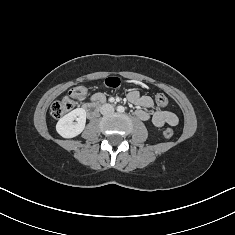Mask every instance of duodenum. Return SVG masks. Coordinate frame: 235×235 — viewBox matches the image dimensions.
<instances>
[{"instance_id":"duodenum-1","label":"duodenum","mask_w":235,"mask_h":235,"mask_svg":"<svg viewBox=\"0 0 235 235\" xmlns=\"http://www.w3.org/2000/svg\"><path fill=\"white\" fill-rule=\"evenodd\" d=\"M103 106L102 103H90L87 106H85L86 114L89 118H93L97 115L98 111Z\"/></svg>"}]
</instances>
